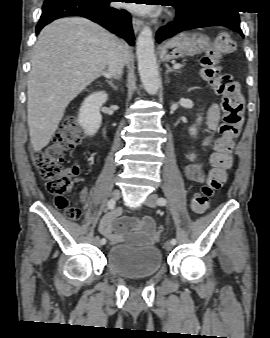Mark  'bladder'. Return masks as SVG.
I'll return each mask as SVG.
<instances>
[{"label": "bladder", "mask_w": 270, "mask_h": 338, "mask_svg": "<svg viewBox=\"0 0 270 338\" xmlns=\"http://www.w3.org/2000/svg\"><path fill=\"white\" fill-rule=\"evenodd\" d=\"M106 264L124 279L151 277L162 267V254L156 246L132 247L129 243L122 242L107 250Z\"/></svg>", "instance_id": "31cf9c89"}]
</instances>
